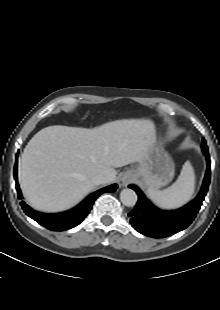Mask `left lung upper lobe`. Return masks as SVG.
<instances>
[{
    "label": "left lung upper lobe",
    "instance_id": "left-lung-upper-lobe-1",
    "mask_svg": "<svg viewBox=\"0 0 220 310\" xmlns=\"http://www.w3.org/2000/svg\"><path fill=\"white\" fill-rule=\"evenodd\" d=\"M205 150H208V147H207V145H206L205 139L203 138V139H202V151H205Z\"/></svg>",
    "mask_w": 220,
    "mask_h": 310
}]
</instances>
